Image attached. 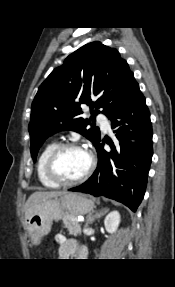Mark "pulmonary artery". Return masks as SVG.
<instances>
[{
  "label": "pulmonary artery",
  "instance_id": "e3ab8cb5",
  "mask_svg": "<svg viewBox=\"0 0 175 287\" xmlns=\"http://www.w3.org/2000/svg\"><path fill=\"white\" fill-rule=\"evenodd\" d=\"M98 120L101 123L103 130L108 131L110 129V123L106 117L99 116Z\"/></svg>",
  "mask_w": 175,
  "mask_h": 287
}]
</instances>
